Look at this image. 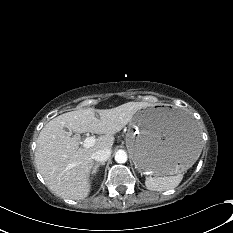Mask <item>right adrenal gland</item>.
Wrapping results in <instances>:
<instances>
[{
  "label": "right adrenal gland",
  "mask_w": 233,
  "mask_h": 233,
  "mask_svg": "<svg viewBox=\"0 0 233 233\" xmlns=\"http://www.w3.org/2000/svg\"><path fill=\"white\" fill-rule=\"evenodd\" d=\"M100 165H105V163H104V162L97 163V164L94 166L93 171L91 172L92 175H93V174H96V172L98 171Z\"/></svg>",
  "instance_id": "obj_1"
}]
</instances>
